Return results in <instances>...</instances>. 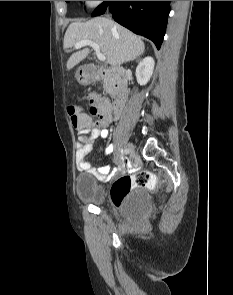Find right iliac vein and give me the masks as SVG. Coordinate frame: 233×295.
Wrapping results in <instances>:
<instances>
[{
    "instance_id": "1",
    "label": "right iliac vein",
    "mask_w": 233,
    "mask_h": 295,
    "mask_svg": "<svg viewBox=\"0 0 233 295\" xmlns=\"http://www.w3.org/2000/svg\"><path fill=\"white\" fill-rule=\"evenodd\" d=\"M127 148H128L127 154L129 156V159L133 160L136 155V151H135L133 144H129Z\"/></svg>"
}]
</instances>
